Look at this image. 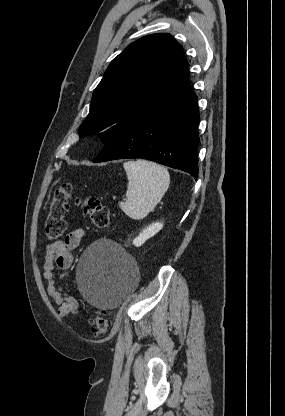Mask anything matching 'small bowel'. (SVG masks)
<instances>
[{"label":"small bowel","mask_w":285,"mask_h":416,"mask_svg":"<svg viewBox=\"0 0 285 416\" xmlns=\"http://www.w3.org/2000/svg\"><path fill=\"white\" fill-rule=\"evenodd\" d=\"M85 235L83 228L69 232L63 240L49 243L45 250L43 278L47 283V294L58 306V316L66 318L78 311V301L57 282L56 271H63L60 277L66 276V271L73 263V251L79 246Z\"/></svg>","instance_id":"small-bowel-1"}]
</instances>
